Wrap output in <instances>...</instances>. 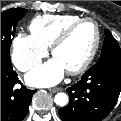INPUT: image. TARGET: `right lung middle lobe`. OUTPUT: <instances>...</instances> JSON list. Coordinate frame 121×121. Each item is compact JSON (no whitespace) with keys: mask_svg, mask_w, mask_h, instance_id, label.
Listing matches in <instances>:
<instances>
[{"mask_svg":"<svg viewBox=\"0 0 121 121\" xmlns=\"http://www.w3.org/2000/svg\"><path fill=\"white\" fill-rule=\"evenodd\" d=\"M23 8H11L1 13V58L10 59V46L18 21L26 14Z\"/></svg>","mask_w":121,"mask_h":121,"instance_id":"obj_1","label":"right lung middle lobe"}]
</instances>
